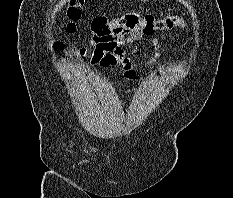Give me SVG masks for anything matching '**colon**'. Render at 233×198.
Instances as JSON below:
<instances>
[{"label": "colon", "instance_id": "colon-1", "mask_svg": "<svg viewBox=\"0 0 233 198\" xmlns=\"http://www.w3.org/2000/svg\"><path fill=\"white\" fill-rule=\"evenodd\" d=\"M84 0H70L67 9L68 32L76 30V22L82 14V5ZM185 22L178 16H167L163 19H157L151 14L141 15L138 12L131 11L123 14L121 17L108 20L104 16L94 18L90 26L92 43L104 40L110 37L117 30H139L143 35H152L156 31L183 27Z\"/></svg>", "mask_w": 233, "mask_h": 198}]
</instances>
